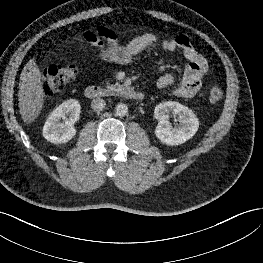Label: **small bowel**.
I'll use <instances>...</instances> for the list:
<instances>
[{"label": "small bowel", "instance_id": "c3829d8e", "mask_svg": "<svg viewBox=\"0 0 263 263\" xmlns=\"http://www.w3.org/2000/svg\"><path fill=\"white\" fill-rule=\"evenodd\" d=\"M79 41L83 51L89 46L97 51L100 60L123 65L131 63L136 56L152 46H158L167 52L181 51L189 63L184 69L178 86L172 91V94L177 97L195 96L201 88L202 78L209 70L207 60L184 34L164 39L155 33L145 32L135 36L127 44L121 45L111 28L100 25L94 31H85ZM176 80L174 74L166 73L158 78L156 85L159 89H163L174 84Z\"/></svg>", "mask_w": 263, "mask_h": 263}]
</instances>
